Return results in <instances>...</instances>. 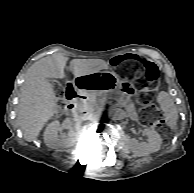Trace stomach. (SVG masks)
<instances>
[{
	"mask_svg": "<svg viewBox=\"0 0 194 193\" xmlns=\"http://www.w3.org/2000/svg\"><path fill=\"white\" fill-rule=\"evenodd\" d=\"M73 86L80 93H107L117 88H122L130 94L136 93V89L131 82L120 81L114 72L109 71H97L75 76Z\"/></svg>",
	"mask_w": 194,
	"mask_h": 193,
	"instance_id": "0dacf381",
	"label": "stomach"
}]
</instances>
